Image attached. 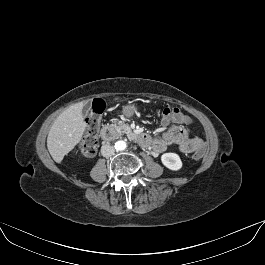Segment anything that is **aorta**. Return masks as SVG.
I'll list each match as a JSON object with an SVG mask.
<instances>
[{
  "instance_id": "aorta-1",
  "label": "aorta",
  "mask_w": 265,
  "mask_h": 265,
  "mask_svg": "<svg viewBox=\"0 0 265 265\" xmlns=\"http://www.w3.org/2000/svg\"><path fill=\"white\" fill-rule=\"evenodd\" d=\"M114 147L117 151H124L127 148V143L123 140H118L115 142Z\"/></svg>"
}]
</instances>
